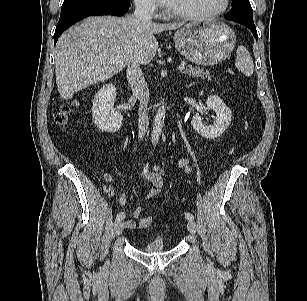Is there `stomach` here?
<instances>
[{"mask_svg":"<svg viewBox=\"0 0 307 301\" xmlns=\"http://www.w3.org/2000/svg\"><path fill=\"white\" fill-rule=\"evenodd\" d=\"M174 41L181 54L197 65H214L232 52L236 36L221 22L189 23L175 32Z\"/></svg>","mask_w":307,"mask_h":301,"instance_id":"obj_1","label":"stomach"}]
</instances>
